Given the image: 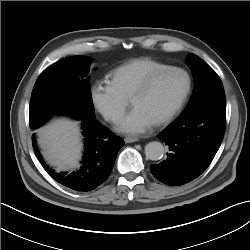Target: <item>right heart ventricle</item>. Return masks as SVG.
Returning <instances> with one entry per match:
<instances>
[{"label": "right heart ventricle", "instance_id": "e07e8e85", "mask_svg": "<svg viewBox=\"0 0 250 250\" xmlns=\"http://www.w3.org/2000/svg\"><path fill=\"white\" fill-rule=\"evenodd\" d=\"M168 65L150 57L131 59L110 72V81L126 98H131L133 92L151 73Z\"/></svg>", "mask_w": 250, "mask_h": 250}]
</instances>
